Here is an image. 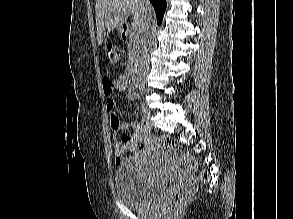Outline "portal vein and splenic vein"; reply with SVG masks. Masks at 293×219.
<instances>
[{
  "mask_svg": "<svg viewBox=\"0 0 293 219\" xmlns=\"http://www.w3.org/2000/svg\"><path fill=\"white\" fill-rule=\"evenodd\" d=\"M133 29H134V30H137V28H136L134 25H133Z\"/></svg>",
  "mask_w": 293,
  "mask_h": 219,
  "instance_id": "1",
  "label": "portal vein and splenic vein"
}]
</instances>
